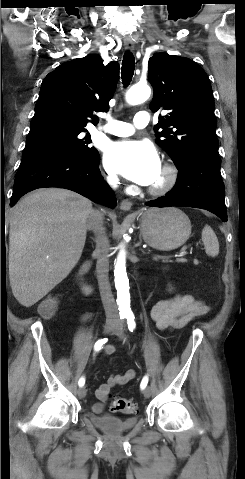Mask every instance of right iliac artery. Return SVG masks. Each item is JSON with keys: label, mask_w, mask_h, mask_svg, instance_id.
Returning <instances> with one entry per match:
<instances>
[{"label": "right iliac artery", "mask_w": 245, "mask_h": 479, "mask_svg": "<svg viewBox=\"0 0 245 479\" xmlns=\"http://www.w3.org/2000/svg\"><path fill=\"white\" fill-rule=\"evenodd\" d=\"M124 318H125L124 316L121 317V319H124ZM106 342H107V338H103V339L98 340L94 345V350L99 351ZM84 384H85V378L81 377L78 381V385L80 387H82V386H84Z\"/></svg>", "instance_id": "right-iliac-artery-1"}]
</instances>
